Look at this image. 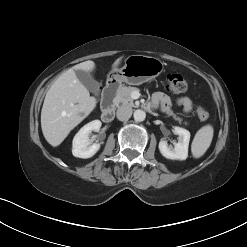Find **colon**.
<instances>
[{"instance_id": "5ec220e1", "label": "colon", "mask_w": 247, "mask_h": 247, "mask_svg": "<svg viewBox=\"0 0 247 247\" xmlns=\"http://www.w3.org/2000/svg\"><path fill=\"white\" fill-rule=\"evenodd\" d=\"M166 82L167 88L174 93H182L188 89L187 81L178 73H171L167 75ZM197 114L201 120H206L209 118V112L204 107H199L197 109Z\"/></svg>"}]
</instances>
